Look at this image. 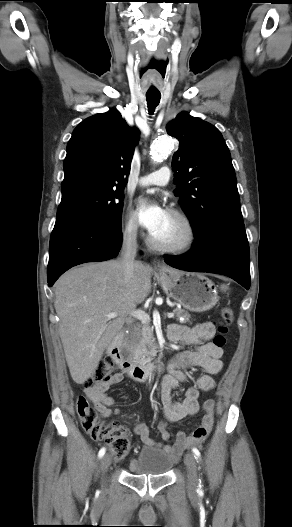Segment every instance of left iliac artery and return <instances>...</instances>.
<instances>
[{"label":"left iliac artery","mask_w":292,"mask_h":527,"mask_svg":"<svg viewBox=\"0 0 292 527\" xmlns=\"http://www.w3.org/2000/svg\"><path fill=\"white\" fill-rule=\"evenodd\" d=\"M192 452H193V455H194V457H195L196 459H200L201 454H200V452H199V450H198L197 448H193V449H192ZM201 487H202V485H201V480H200V482H199V489H200Z\"/></svg>","instance_id":"obj_1"}]
</instances>
